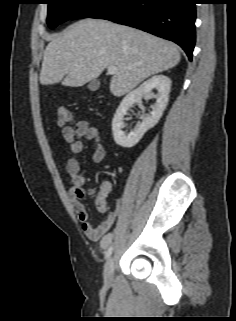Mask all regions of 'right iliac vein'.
I'll use <instances>...</instances> for the list:
<instances>
[{"label": "right iliac vein", "instance_id": "63e3f726", "mask_svg": "<svg viewBox=\"0 0 236 321\" xmlns=\"http://www.w3.org/2000/svg\"><path fill=\"white\" fill-rule=\"evenodd\" d=\"M114 266L115 260L113 257H109L104 266V282L106 285L110 286L114 279Z\"/></svg>", "mask_w": 236, "mask_h": 321}]
</instances>
